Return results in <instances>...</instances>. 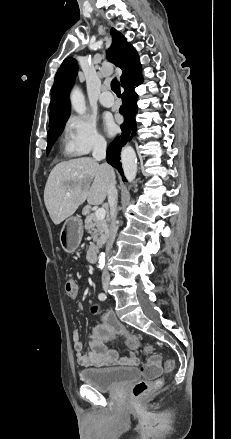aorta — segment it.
Here are the masks:
<instances>
[{
  "mask_svg": "<svg viewBox=\"0 0 231 439\" xmlns=\"http://www.w3.org/2000/svg\"><path fill=\"white\" fill-rule=\"evenodd\" d=\"M72 108L79 115L86 112L85 98L78 87H74L70 95ZM121 162L125 177L129 182H132L137 174V157L134 149L131 146H125L121 152ZM105 265V254L100 253L98 257V268L103 269Z\"/></svg>",
  "mask_w": 231,
  "mask_h": 439,
  "instance_id": "obj_1",
  "label": "aorta"
}]
</instances>
